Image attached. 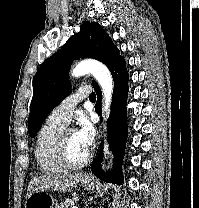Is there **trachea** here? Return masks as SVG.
Listing matches in <instances>:
<instances>
[{"mask_svg": "<svg viewBox=\"0 0 199 208\" xmlns=\"http://www.w3.org/2000/svg\"><path fill=\"white\" fill-rule=\"evenodd\" d=\"M89 99L91 101H95L96 100V94L95 93H91V95L89 96Z\"/></svg>", "mask_w": 199, "mask_h": 208, "instance_id": "obj_1", "label": "trachea"}]
</instances>
